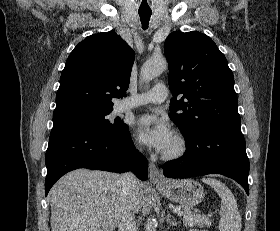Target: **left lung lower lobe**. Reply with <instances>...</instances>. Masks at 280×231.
<instances>
[{
  "instance_id": "1",
  "label": "left lung lower lobe",
  "mask_w": 280,
  "mask_h": 231,
  "mask_svg": "<svg viewBox=\"0 0 280 231\" xmlns=\"http://www.w3.org/2000/svg\"><path fill=\"white\" fill-rule=\"evenodd\" d=\"M185 142L184 156L163 165L166 177L222 174L238 182L249 195V160L240 124L208 126L186 136Z\"/></svg>"
}]
</instances>
